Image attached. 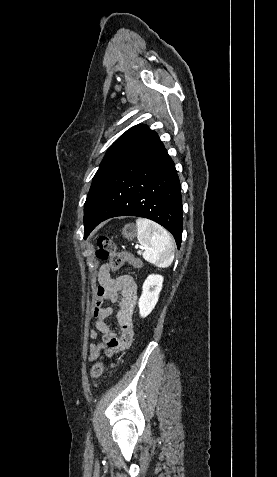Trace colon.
<instances>
[{
	"label": "colon",
	"mask_w": 277,
	"mask_h": 477,
	"mask_svg": "<svg viewBox=\"0 0 277 477\" xmlns=\"http://www.w3.org/2000/svg\"><path fill=\"white\" fill-rule=\"evenodd\" d=\"M97 258L109 262L112 271L120 270L124 265H129L130 268H141L142 260L138 256L121 250L116 247L111 239L105 236H100L97 240ZM104 370L102 363H96L91 368V376L93 378L99 377Z\"/></svg>",
	"instance_id": "obj_1"
}]
</instances>
